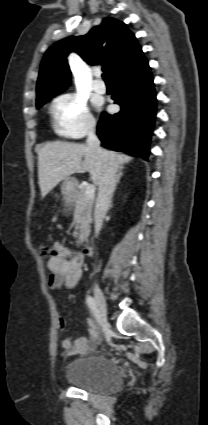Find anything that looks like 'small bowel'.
<instances>
[{
    "mask_svg": "<svg viewBox=\"0 0 208 425\" xmlns=\"http://www.w3.org/2000/svg\"><path fill=\"white\" fill-rule=\"evenodd\" d=\"M54 255L49 258L48 286L53 290L62 291L77 285L83 274V256L73 252L61 242L53 244ZM87 335L82 337H68L61 342L66 355H82L90 351L98 340V328L92 319H87ZM59 327L66 326L64 318H59Z\"/></svg>",
    "mask_w": 208,
    "mask_h": 425,
    "instance_id": "obj_1",
    "label": "small bowel"
}]
</instances>
